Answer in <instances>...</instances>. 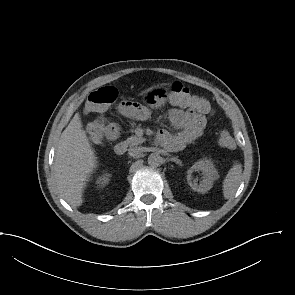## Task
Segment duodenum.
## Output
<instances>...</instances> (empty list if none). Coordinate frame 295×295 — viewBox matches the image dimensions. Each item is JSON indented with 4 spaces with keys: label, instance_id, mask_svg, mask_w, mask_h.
Instances as JSON below:
<instances>
[{
    "label": "duodenum",
    "instance_id": "duodenum-1",
    "mask_svg": "<svg viewBox=\"0 0 295 295\" xmlns=\"http://www.w3.org/2000/svg\"><path fill=\"white\" fill-rule=\"evenodd\" d=\"M127 150V146L124 142H119L114 146V152L117 156L124 155Z\"/></svg>",
    "mask_w": 295,
    "mask_h": 295
}]
</instances>
